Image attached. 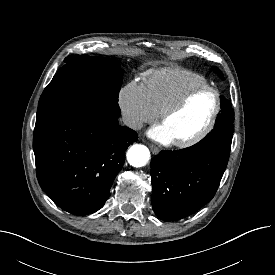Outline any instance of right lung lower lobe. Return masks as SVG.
<instances>
[{
  "label": "right lung lower lobe",
  "mask_w": 275,
  "mask_h": 275,
  "mask_svg": "<svg viewBox=\"0 0 275 275\" xmlns=\"http://www.w3.org/2000/svg\"><path fill=\"white\" fill-rule=\"evenodd\" d=\"M137 139L104 111L80 107L58 114L34 129L38 182L63 210L94 213L104 206L125 151Z\"/></svg>",
  "instance_id": "98d812e1"
}]
</instances>
